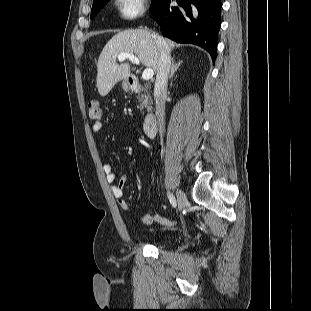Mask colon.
Masks as SVG:
<instances>
[{"label":"colon","mask_w":311,"mask_h":311,"mask_svg":"<svg viewBox=\"0 0 311 311\" xmlns=\"http://www.w3.org/2000/svg\"><path fill=\"white\" fill-rule=\"evenodd\" d=\"M88 115L91 120L99 121L103 117V107L98 100H92L88 104Z\"/></svg>","instance_id":"1"}]
</instances>
